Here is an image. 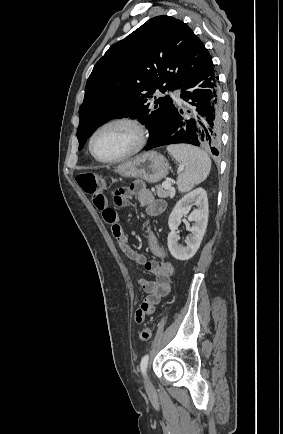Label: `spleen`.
I'll return each instance as SVG.
<instances>
[{"label": "spleen", "instance_id": "1", "mask_svg": "<svg viewBox=\"0 0 283 434\" xmlns=\"http://www.w3.org/2000/svg\"><path fill=\"white\" fill-rule=\"evenodd\" d=\"M167 151L182 165L184 171L178 176L180 192L191 190L195 184L204 181L211 170V159L206 152L190 145H172Z\"/></svg>", "mask_w": 283, "mask_h": 434}]
</instances>
